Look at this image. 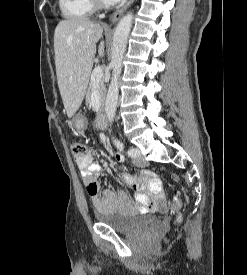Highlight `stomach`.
I'll use <instances>...</instances> for the list:
<instances>
[{
    "label": "stomach",
    "mask_w": 247,
    "mask_h": 275,
    "mask_svg": "<svg viewBox=\"0 0 247 275\" xmlns=\"http://www.w3.org/2000/svg\"><path fill=\"white\" fill-rule=\"evenodd\" d=\"M72 124L77 130L82 131V130H84V128L86 126V121L82 116L76 115L72 119Z\"/></svg>",
    "instance_id": "0dacf381"
}]
</instances>
